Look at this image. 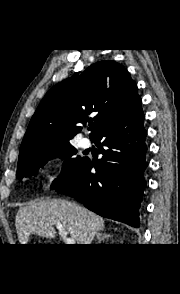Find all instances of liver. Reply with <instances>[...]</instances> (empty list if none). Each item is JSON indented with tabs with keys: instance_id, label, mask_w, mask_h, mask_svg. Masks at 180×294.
I'll list each match as a JSON object with an SVG mask.
<instances>
[{
	"instance_id": "1",
	"label": "liver",
	"mask_w": 180,
	"mask_h": 294,
	"mask_svg": "<svg viewBox=\"0 0 180 294\" xmlns=\"http://www.w3.org/2000/svg\"><path fill=\"white\" fill-rule=\"evenodd\" d=\"M53 222H60L79 245L91 244L98 231L104 229V219L74 202L51 199L21 207L15 218L20 244H27L35 234L53 238Z\"/></svg>"
}]
</instances>
